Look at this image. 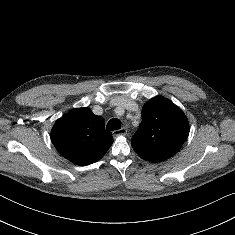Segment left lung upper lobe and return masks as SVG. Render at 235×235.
<instances>
[{
	"instance_id": "left-lung-upper-lobe-1",
	"label": "left lung upper lobe",
	"mask_w": 235,
	"mask_h": 235,
	"mask_svg": "<svg viewBox=\"0 0 235 235\" xmlns=\"http://www.w3.org/2000/svg\"><path fill=\"white\" fill-rule=\"evenodd\" d=\"M189 134L183 111L170 100L156 96L142 108V122L132 138L134 151L147 161H163L174 156Z\"/></svg>"
}]
</instances>
